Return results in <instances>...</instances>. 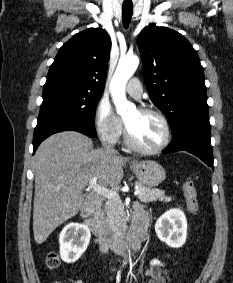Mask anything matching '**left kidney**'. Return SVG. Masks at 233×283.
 Here are the masks:
<instances>
[{
	"instance_id": "obj_1",
	"label": "left kidney",
	"mask_w": 233,
	"mask_h": 283,
	"mask_svg": "<svg viewBox=\"0 0 233 283\" xmlns=\"http://www.w3.org/2000/svg\"><path fill=\"white\" fill-rule=\"evenodd\" d=\"M155 231L158 238L172 248H180L187 237V220L180 209H171L156 222Z\"/></svg>"
}]
</instances>
